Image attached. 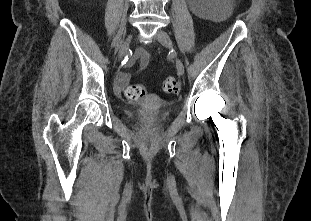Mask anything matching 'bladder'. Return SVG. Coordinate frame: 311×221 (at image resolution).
<instances>
[{"mask_svg": "<svg viewBox=\"0 0 311 221\" xmlns=\"http://www.w3.org/2000/svg\"><path fill=\"white\" fill-rule=\"evenodd\" d=\"M163 106H165V101L161 99L156 101L151 95H146L145 98L140 97L137 102V112L130 114L129 120L145 131L160 129L168 121L166 114L160 111Z\"/></svg>", "mask_w": 311, "mask_h": 221, "instance_id": "obj_1", "label": "bladder"}]
</instances>
